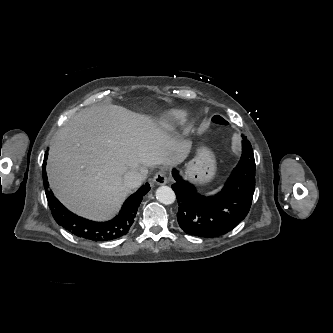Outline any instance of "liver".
<instances>
[{
    "instance_id": "liver-1",
    "label": "liver",
    "mask_w": 333,
    "mask_h": 333,
    "mask_svg": "<svg viewBox=\"0 0 333 333\" xmlns=\"http://www.w3.org/2000/svg\"><path fill=\"white\" fill-rule=\"evenodd\" d=\"M190 146L122 106H92L78 112L53 138L48 180L70 211L107 220L130 192L123 180L126 172L136 169L146 178L148 167L181 163Z\"/></svg>"
}]
</instances>
